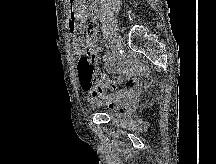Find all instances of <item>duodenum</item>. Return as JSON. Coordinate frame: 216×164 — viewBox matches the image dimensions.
<instances>
[{
    "mask_svg": "<svg viewBox=\"0 0 216 164\" xmlns=\"http://www.w3.org/2000/svg\"><path fill=\"white\" fill-rule=\"evenodd\" d=\"M71 3L74 4V1L71 0ZM91 13L92 16L97 18L100 15V4H99V0H93V3L91 5Z\"/></svg>",
    "mask_w": 216,
    "mask_h": 164,
    "instance_id": "duodenum-1",
    "label": "duodenum"
}]
</instances>
